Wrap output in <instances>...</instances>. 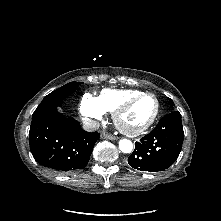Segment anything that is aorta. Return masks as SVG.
<instances>
[{"label": "aorta", "mask_w": 221, "mask_h": 221, "mask_svg": "<svg viewBox=\"0 0 221 221\" xmlns=\"http://www.w3.org/2000/svg\"><path fill=\"white\" fill-rule=\"evenodd\" d=\"M119 149L123 153H130L133 150V144L130 140L128 139H122L119 141Z\"/></svg>", "instance_id": "obj_1"}]
</instances>
